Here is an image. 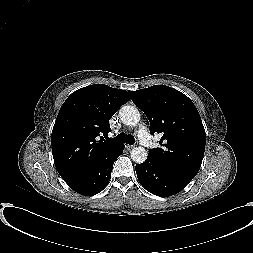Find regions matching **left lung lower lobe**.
Instances as JSON below:
<instances>
[{
	"mask_svg": "<svg viewBox=\"0 0 253 253\" xmlns=\"http://www.w3.org/2000/svg\"><path fill=\"white\" fill-rule=\"evenodd\" d=\"M136 173L140 184L147 191L157 196L174 195L183 190L192 180L159 164L152 157H147L144 163L137 164Z\"/></svg>",
	"mask_w": 253,
	"mask_h": 253,
	"instance_id": "obj_1",
	"label": "left lung lower lobe"
}]
</instances>
